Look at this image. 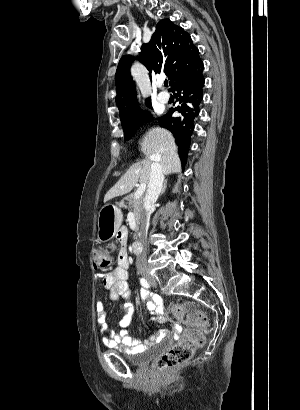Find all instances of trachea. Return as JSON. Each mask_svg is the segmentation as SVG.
I'll use <instances>...</instances> for the list:
<instances>
[{
	"mask_svg": "<svg viewBox=\"0 0 300 410\" xmlns=\"http://www.w3.org/2000/svg\"><path fill=\"white\" fill-rule=\"evenodd\" d=\"M164 86H165V87L168 86V81H164Z\"/></svg>",
	"mask_w": 300,
	"mask_h": 410,
	"instance_id": "obj_1",
	"label": "trachea"
}]
</instances>
